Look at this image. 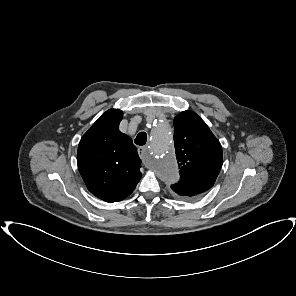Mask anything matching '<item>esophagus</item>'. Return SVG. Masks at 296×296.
I'll return each instance as SVG.
<instances>
[{
  "instance_id": "1",
  "label": "esophagus",
  "mask_w": 296,
  "mask_h": 296,
  "mask_svg": "<svg viewBox=\"0 0 296 296\" xmlns=\"http://www.w3.org/2000/svg\"><path fill=\"white\" fill-rule=\"evenodd\" d=\"M137 150H138V154H139V156L141 158H143L147 153V147L146 146H140V147H138Z\"/></svg>"
}]
</instances>
